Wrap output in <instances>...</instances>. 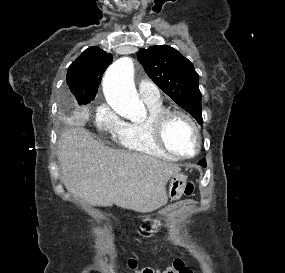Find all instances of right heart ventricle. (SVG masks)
<instances>
[{
    "instance_id": "e07e8e85",
    "label": "right heart ventricle",
    "mask_w": 285,
    "mask_h": 273,
    "mask_svg": "<svg viewBox=\"0 0 285 273\" xmlns=\"http://www.w3.org/2000/svg\"><path fill=\"white\" fill-rule=\"evenodd\" d=\"M149 116L143 121L124 122L116 134V141L123 148L141 154L175 159L176 157L164 151L155 141L151 130V119L157 113L165 110L162 102H145Z\"/></svg>"
}]
</instances>
